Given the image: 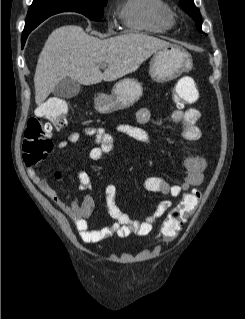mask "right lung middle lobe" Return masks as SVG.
<instances>
[{
    "instance_id": "obj_1",
    "label": "right lung middle lobe",
    "mask_w": 245,
    "mask_h": 319,
    "mask_svg": "<svg viewBox=\"0 0 245 319\" xmlns=\"http://www.w3.org/2000/svg\"><path fill=\"white\" fill-rule=\"evenodd\" d=\"M107 0H68L63 2L65 12H78L91 20L99 21L103 15V7Z\"/></svg>"
}]
</instances>
